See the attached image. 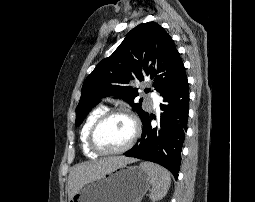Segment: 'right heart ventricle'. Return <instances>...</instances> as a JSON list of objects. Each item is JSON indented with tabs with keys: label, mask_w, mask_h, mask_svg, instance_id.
<instances>
[{
	"label": "right heart ventricle",
	"mask_w": 255,
	"mask_h": 202,
	"mask_svg": "<svg viewBox=\"0 0 255 202\" xmlns=\"http://www.w3.org/2000/svg\"><path fill=\"white\" fill-rule=\"evenodd\" d=\"M106 111V108L104 106H100L96 108L94 111H92L89 116L87 117L86 121L84 122L81 132H80V142L81 147L84 152V154L90 158H96L98 156L97 153H95L88 144V134L89 131L95 122V120L104 112Z\"/></svg>",
	"instance_id": "obj_1"
}]
</instances>
